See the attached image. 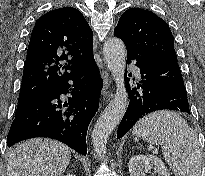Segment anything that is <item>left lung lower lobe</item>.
Listing matches in <instances>:
<instances>
[{
	"label": "left lung lower lobe",
	"instance_id": "1",
	"mask_svg": "<svg viewBox=\"0 0 205 176\" xmlns=\"http://www.w3.org/2000/svg\"><path fill=\"white\" fill-rule=\"evenodd\" d=\"M131 61H135L140 68L141 81L137 88L129 91L130 102L119 125L117 139L151 112L169 109L190 114L186 88L177 62L152 61L127 50L126 62ZM139 88L142 90L138 91Z\"/></svg>",
	"mask_w": 205,
	"mask_h": 176
}]
</instances>
